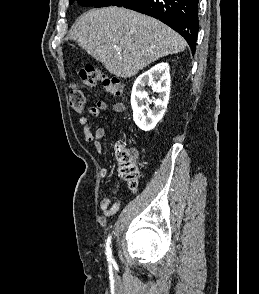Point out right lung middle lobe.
I'll use <instances>...</instances> for the list:
<instances>
[{"mask_svg":"<svg viewBox=\"0 0 259 294\" xmlns=\"http://www.w3.org/2000/svg\"><path fill=\"white\" fill-rule=\"evenodd\" d=\"M130 0H77V2L81 6H94L98 7H106V6H118L122 7ZM74 0H69V3L72 4Z\"/></svg>","mask_w":259,"mask_h":294,"instance_id":"dd1d6c3e","label":"right lung middle lobe"}]
</instances>
